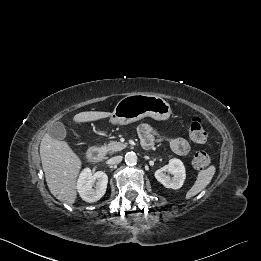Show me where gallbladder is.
Segmentation results:
<instances>
[{
  "label": "gallbladder",
  "instance_id": "1",
  "mask_svg": "<svg viewBox=\"0 0 261 261\" xmlns=\"http://www.w3.org/2000/svg\"><path fill=\"white\" fill-rule=\"evenodd\" d=\"M49 136L56 140H63L66 137L67 131L63 123L56 122L49 129Z\"/></svg>",
  "mask_w": 261,
  "mask_h": 261
}]
</instances>
